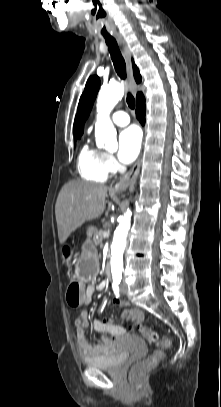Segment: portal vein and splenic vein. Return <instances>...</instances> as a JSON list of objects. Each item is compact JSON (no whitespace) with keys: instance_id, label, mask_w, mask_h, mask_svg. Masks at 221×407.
I'll return each instance as SVG.
<instances>
[{"instance_id":"portal-vein-and-splenic-vein-1","label":"portal vein and splenic vein","mask_w":221,"mask_h":407,"mask_svg":"<svg viewBox=\"0 0 221 407\" xmlns=\"http://www.w3.org/2000/svg\"><path fill=\"white\" fill-rule=\"evenodd\" d=\"M109 234H110V231L107 230V231H104L103 236H104V237H107V236H109Z\"/></svg>"}]
</instances>
